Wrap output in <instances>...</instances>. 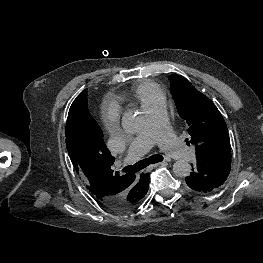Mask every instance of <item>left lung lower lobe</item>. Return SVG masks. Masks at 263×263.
Masks as SVG:
<instances>
[{
    "mask_svg": "<svg viewBox=\"0 0 263 263\" xmlns=\"http://www.w3.org/2000/svg\"><path fill=\"white\" fill-rule=\"evenodd\" d=\"M231 168V154L196 158V164L190 176L186 177L187 185L200 193H209L219 188L227 179Z\"/></svg>",
    "mask_w": 263,
    "mask_h": 263,
    "instance_id": "0a47b994",
    "label": "left lung lower lobe"
}]
</instances>
